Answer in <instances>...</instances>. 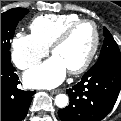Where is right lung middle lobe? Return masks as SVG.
Returning a JSON list of instances; mask_svg holds the SVG:
<instances>
[{
  "label": "right lung middle lobe",
  "instance_id": "right-lung-middle-lobe-1",
  "mask_svg": "<svg viewBox=\"0 0 121 121\" xmlns=\"http://www.w3.org/2000/svg\"><path fill=\"white\" fill-rule=\"evenodd\" d=\"M25 8H13L1 13V62L10 63V40L18 22L28 13Z\"/></svg>",
  "mask_w": 121,
  "mask_h": 121
}]
</instances>
